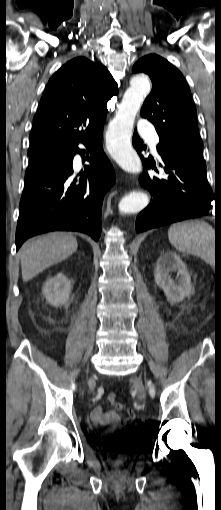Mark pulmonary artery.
I'll return each mask as SVG.
<instances>
[{
    "mask_svg": "<svg viewBox=\"0 0 221 510\" xmlns=\"http://www.w3.org/2000/svg\"><path fill=\"white\" fill-rule=\"evenodd\" d=\"M138 129L144 138V140L150 145V147L156 150L159 143V137L153 128V125L147 120H141L138 124Z\"/></svg>",
    "mask_w": 221,
    "mask_h": 510,
    "instance_id": "1",
    "label": "pulmonary artery"
}]
</instances>
